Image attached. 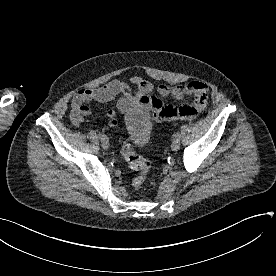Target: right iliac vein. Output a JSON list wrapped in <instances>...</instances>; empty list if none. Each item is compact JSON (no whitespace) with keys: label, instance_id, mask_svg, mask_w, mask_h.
Here are the masks:
<instances>
[{"label":"right iliac vein","instance_id":"1","mask_svg":"<svg viewBox=\"0 0 276 276\" xmlns=\"http://www.w3.org/2000/svg\"><path fill=\"white\" fill-rule=\"evenodd\" d=\"M101 146H102L103 149H108L109 141L107 139L102 140Z\"/></svg>","mask_w":276,"mask_h":276}]
</instances>
